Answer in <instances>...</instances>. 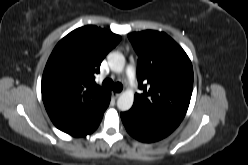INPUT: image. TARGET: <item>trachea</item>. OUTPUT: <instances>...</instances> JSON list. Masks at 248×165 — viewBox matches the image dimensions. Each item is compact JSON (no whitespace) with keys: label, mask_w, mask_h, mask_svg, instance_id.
I'll use <instances>...</instances> for the list:
<instances>
[{"label":"trachea","mask_w":248,"mask_h":165,"mask_svg":"<svg viewBox=\"0 0 248 165\" xmlns=\"http://www.w3.org/2000/svg\"><path fill=\"white\" fill-rule=\"evenodd\" d=\"M102 86L106 89L113 90L114 92H121L123 86L121 83H113L111 79H105L102 83Z\"/></svg>","instance_id":"1"}]
</instances>
